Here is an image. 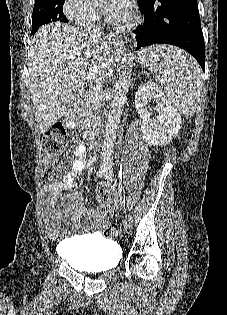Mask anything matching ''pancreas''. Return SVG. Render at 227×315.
Here are the masks:
<instances>
[{
	"label": "pancreas",
	"instance_id": "pancreas-1",
	"mask_svg": "<svg viewBox=\"0 0 227 315\" xmlns=\"http://www.w3.org/2000/svg\"><path fill=\"white\" fill-rule=\"evenodd\" d=\"M102 93H98V97L86 94L82 108L78 111L77 121L79 126L90 129L97 119V111L101 107Z\"/></svg>",
	"mask_w": 227,
	"mask_h": 315
}]
</instances>
